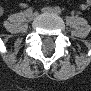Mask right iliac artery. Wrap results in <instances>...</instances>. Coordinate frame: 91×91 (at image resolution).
Listing matches in <instances>:
<instances>
[{
    "mask_svg": "<svg viewBox=\"0 0 91 91\" xmlns=\"http://www.w3.org/2000/svg\"><path fill=\"white\" fill-rule=\"evenodd\" d=\"M30 12H32V8L29 7L28 9L25 10V15L29 14Z\"/></svg>",
    "mask_w": 91,
    "mask_h": 91,
    "instance_id": "right-iliac-artery-1",
    "label": "right iliac artery"
}]
</instances>
